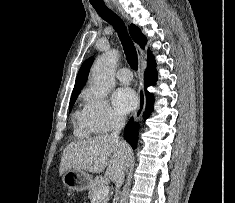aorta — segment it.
Returning <instances> with one entry per match:
<instances>
[{"label": "aorta", "instance_id": "1", "mask_svg": "<svg viewBox=\"0 0 235 203\" xmlns=\"http://www.w3.org/2000/svg\"><path fill=\"white\" fill-rule=\"evenodd\" d=\"M119 58L117 50L104 53L94 64L92 78L94 81V95L104 98L115 85V67Z\"/></svg>", "mask_w": 235, "mask_h": 203}]
</instances>
